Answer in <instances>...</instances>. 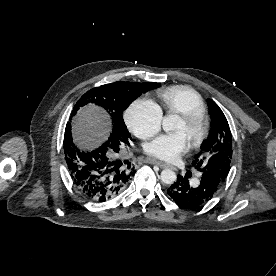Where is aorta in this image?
Wrapping results in <instances>:
<instances>
[{
    "instance_id": "obj_1",
    "label": "aorta",
    "mask_w": 276,
    "mask_h": 276,
    "mask_svg": "<svg viewBox=\"0 0 276 276\" xmlns=\"http://www.w3.org/2000/svg\"><path fill=\"white\" fill-rule=\"evenodd\" d=\"M180 118L178 115H167L163 118L162 127L166 132L176 130L179 126ZM161 181L164 184H173L176 181V174L171 169H164L160 175Z\"/></svg>"
}]
</instances>
